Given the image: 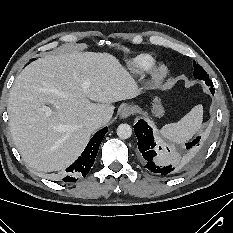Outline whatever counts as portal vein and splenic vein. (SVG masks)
Segmentation results:
<instances>
[{
	"instance_id": "portal-vein-and-splenic-vein-1",
	"label": "portal vein and splenic vein",
	"mask_w": 233,
	"mask_h": 233,
	"mask_svg": "<svg viewBox=\"0 0 233 233\" xmlns=\"http://www.w3.org/2000/svg\"><path fill=\"white\" fill-rule=\"evenodd\" d=\"M44 110H45V111H48V110H49V108H48V107H45V108H44Z\"/></svg>"
}]
</instances>
